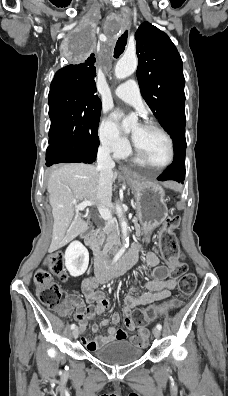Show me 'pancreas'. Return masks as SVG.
<instances>
[{
    "label": "pancreas",
    "instance_id": "pancreas-1",
    "mask_svg": "<svg viewBox=\"0 0 228 396\" xmlns=\"http://www.w3.org/2000/svg\"><path fill=\"white\" fill-rule=\"evenodd\" d=\"M131 223L134 226L136 236H140L142 234V231L140 229L138 220L136 216L132 217ZM116 238V229L115 227L110 223H106L105 227L102 229L100 232V239H99V245L103 247L102 253L106 254L113 246V241ZM138 240L140 239L139 237L137 238Z\"/></svg>",
    "mask_w": 228,
    "mask_h": 396
}]
</instances>
